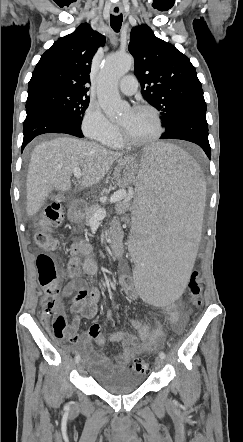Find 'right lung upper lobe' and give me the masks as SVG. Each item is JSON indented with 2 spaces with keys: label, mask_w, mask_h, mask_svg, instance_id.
<instances>
[{
  "label": "right lung upper lobe",
  "mask_w": 243,
  "mask_h": 442,
  "mask_svg": "<svg viewBox=\"0 0 243 442\" xmlns=\"http://www.w3.org/2000/svg\"><path fill=\"white\" fill-rule=\"evenodd\" d=\"M105 37L87 23L59 38L41 56L28 84V97L63 91L88 97L91 61Z\"/></svg>",
  "instance_id": "1"
}]
</instances>
